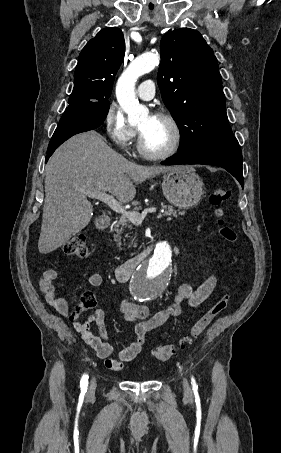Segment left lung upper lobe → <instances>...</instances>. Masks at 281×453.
Instances as JSON below:
<instances>
[{
	"instance_id": "5c2ea615",
	"label": "left lung upper lobe",
	"mask_w": 281,
	"mask_h": 453,
	"mask_svg": "<svg viewBox=\"0 0 281 453\" xmlns=\"http://www.w3.org/2000/svg\"><path fill=\"white\" fill-rule=\"evenodd\" d=\"M157 82L181 133L179 152L233 138L221 75L202 35L184 28L161 40Z\"/></svg>"
}]
</instances>
